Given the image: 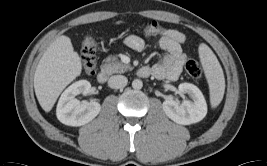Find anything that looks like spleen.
Segmentation results:
<instances>
[{
	"label": "spleen",
	"instance_id": "1",
	"mask_svg": "<svg viewBox=\"0 0 267 166\" xmlns=\"http://www.w3.org/2000/svg\"><path fill=\"white\" fill-rule=\"evenodd\" d=\"M199 54L210 89V103L217 107L225 92V78L223 70L213 52L206 45L199 47Z\"/></svg>",
	"mask_w": 267,
	"mask_h": 166
}]
</instances>
